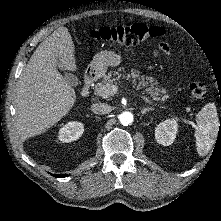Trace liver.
<instances>
[{"label": "liver", "instance_id": "liver-1", "mask_svg": "<svg viewBox=\"0 0 221 221\" xmlns=\"http://www.w3.org/2000/svg\"><path fill=\"white\" fill-rule=\"evenodd\" d=\"M76 71L75 45L59 27L34 51L22 71L15 97L16 127L22 139L40 134L61 120L76 101L74 89L57 70Z\"/></svg>", "mask_w": 221, "mask_h": 221}]
</instances>
